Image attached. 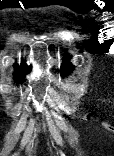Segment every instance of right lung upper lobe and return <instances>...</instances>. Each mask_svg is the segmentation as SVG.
<instances>
[{
  "instance_id": "cb5924a9",
  "label": "right lung upper lobe",
  "mask_w": 114,
  "mask_h": 156,
  "mask_svg": "<svg viewBox=\"0 0 114 156\" xmlns=\"http://www.w3.org/2000/svg\"><path fill=\"white\" fill-rule=\"evenodd\" d=\"M15 68V80L17 82H22L24 80V75L29 71L28 67L26 64L21 63L19 66L18 64H14Z\"/></svg>"
}]
</instances>
